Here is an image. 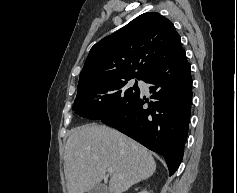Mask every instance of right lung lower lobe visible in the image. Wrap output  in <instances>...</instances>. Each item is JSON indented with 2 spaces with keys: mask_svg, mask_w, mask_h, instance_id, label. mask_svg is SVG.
<instances>
[{
  "mask_svg": "<svg viewBox=\"0 0 237 193\" xmlns=\"http://www.w3.org/2000/svg\"><path fill=\"white\" fill-rule=\"evenodd\" d=\"M142 80L150 84L153 101L140 93L121 111L101 121L161 154L172 175L183 157L191 111L192 78L185 51L181 49L155 66Z\"/></svg>",
  "mask_w": 237,
  "mask_h": 193,
  "instance_id": "right-lung-lower-lobe-1",
  "label": "right lung lower lobe"
}]
</instances>
